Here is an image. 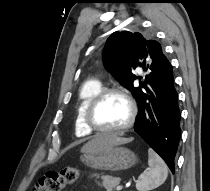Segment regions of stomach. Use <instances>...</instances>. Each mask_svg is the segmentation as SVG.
<instances>
[{
  "mask_svg": "<svg viewBox=\"0 0 210 191\" xmlns=\"http://www.w3.org/2000/svg\"><path fill=\"white\" fill-rule=\"evenodd\" d=\"M80 159L92 169L106 171L127 170L139 161L134 152L119 145L83 152Z\"/></svg>",
  "mask_w": 210,
  "mask_h": 191,
  "instance_id": "1",
  "label": "stomach"
}]
</instances>
